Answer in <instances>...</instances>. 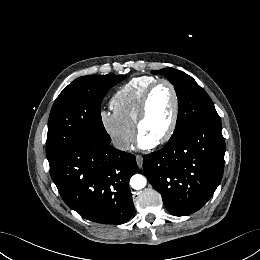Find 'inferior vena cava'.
<instances>
[{
    "label": "inferior vena cava",
    "mask_w": 260,
    "mask_h": 260,
    "mask_svg": "<svg viewBox=\"0 0 260 260\" xmlns=\"http://www.w3.org/2000/svg\"><path fill=\"white\" fill-rule=\"evenodd\" d=\"M113 145L115 148L125 151L129 149L130 142L122 139H115L113 140Z\"/></svg>",
    "instance_id": "obj_1"
}]
</instances>
